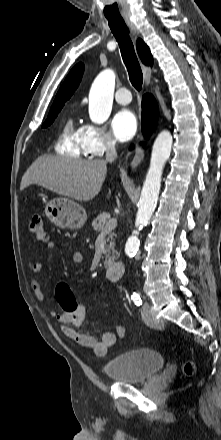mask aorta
Here are the masks:
<instances>
[{
    "label": "aorta",
    "mask_w": 221,
    "mask_h": 440,
    "mask_svg": "<svg viewBox=\"0 0 221 440\" xmlns=\"http://www.w3.org/2000/svg\"><path fill=\"white\" fill-rule=\"evenodd\" d=\"M115 88V73L106 69L94 80L89 93V117L92 122L102 124L109 118L112 110ZM173 139L169 131H161L153 144L150 167L142 188L139 200V209L135 225L141 230L147 225L157 204L161 187V178L164 165L168 160ZM138 231H134L128 238L125 252L131 256L139 248Z\"/></svg>",
    "instance_id": "1"
}]
</instances>
